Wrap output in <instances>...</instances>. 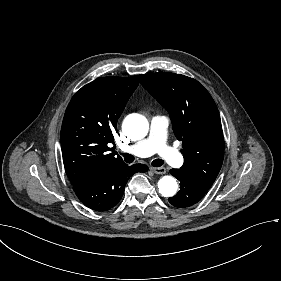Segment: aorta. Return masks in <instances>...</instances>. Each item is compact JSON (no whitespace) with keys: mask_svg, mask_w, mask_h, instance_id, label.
I'll list each match as a JSON object with an SVG mask.
<instances>
[{"mask_svg":"<svg viewBox=\"0 0 281 281\" xmlns=\"http://www.w3.org/2000/svg\"><path fill=\"white\" fill-rule=\"evenodd\" d=\"M123 130L132 139L138 140L145 137L149 130L147 119L139 114H132L123 123ZM159 192L164 197H172L176 194L178 184L174 177L163 176L158 182Z\"/></svg>","mask_w":281,"mask_h":281,"instance_id":"1","label":"aorta"}]
</instances>
